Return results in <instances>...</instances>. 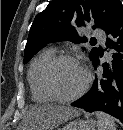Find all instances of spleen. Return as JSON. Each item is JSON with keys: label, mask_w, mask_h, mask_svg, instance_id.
Masks as SVG:
<instances>
[{"label": "spleen", "mask_w": 123, "mask_h": 130, "mask_svg": "<svg viewBox=\"0 0 123 130\" xmlns=\"http://www.w3.org/2000/svg\"><path fill=\"white\" fill-rule=\"evenodd\" d=\"M98 119V130H116L115 119L104 113V112H96L95 113Z\"/></svg>", "instance_id": "obj_1"}]
</instances>
